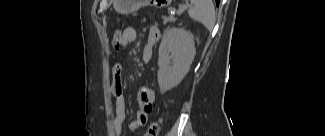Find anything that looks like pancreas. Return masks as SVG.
Here are the masks:
<instances>
[{
  "mask_svg": "<svg viewBox=\"0 0 325 136\" xmlns=\"http://www.w3.org/2000/svg\"><path fill=\"white\" fill-rule=\"evenodd\" d=\"M161 16L162 17L159 20L161 24H166L167 19L171 21V20L175 19V17H176V16H170L169 12H163Z\"/></svg>",
  "mask_w": 325,
  "mask_h": 136,
  "instance_id": "obj_1",
  "label": "pancreas"
}]
</instances>
